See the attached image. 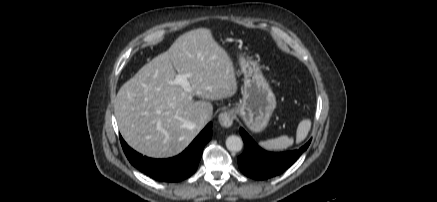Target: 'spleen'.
<instances>
[{"mask_svg": "<svg viewBox=\"0 0 437 202\" xmlns=\"http://www.w3.org/2000/svg\"><path fill=\"white\" fill-rule=\"evenodd\" d=\"M311 128V121L309 119L302 120L296 131V141H303ZM293 138L288 136H280L278 138L269 139L266 141L259 142V145L267 150H282L290 147L293 144Z\"/></svg>", "mask_w": 437, "mask_h": 202, "instance_id": "3e777b00", "label": "spleen"}]
</instances>
